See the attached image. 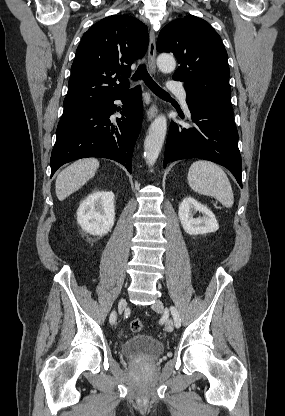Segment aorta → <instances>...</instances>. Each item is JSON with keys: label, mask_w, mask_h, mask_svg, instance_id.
Here are the masks:
<instances>
[{"label": "aorta", "mask_w": 285, "mask_h": 416, "mask_svg": "<svg viewBox=\"0 0 285 416\" xmlns=\"http://www.w3.org/2000/svg\"><path fill=\"white\" fill-rule=\"evenodd\" d=\"M157 66L163 73L172 72L176 67L173 56L161 54L157 58ZM167 132V120L159 115L149 127L148 135L144 142V157L148 165H154L163 146Z\"/></svg>", "instance_id": "obj_1"}]
</instances>
